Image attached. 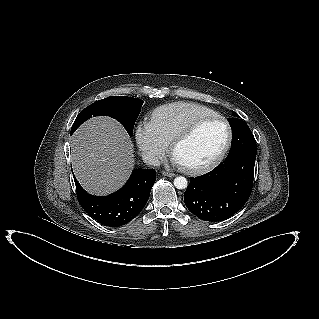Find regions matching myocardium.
<instances>
[{
	"mask_svg": "<svg viewBox=\"0 0 319 319\" xmlns=\"http://www.w3.org/2000/svg\"><path fill=\"white\" fill-rule=\"evenodd\" d=\"M212 119H218L224 123L226 127L225 141L221 149L217 153V155L209 162L203 165H198V166H185L180 164L182 170L188 174L197 175V174L208 172L212 170L213 168H215L223 160L232 141V128L229 121L224 116L217 113L207 114V115L197 117L193 119L192 121H190L181 131H179L170 142V151L173 154L176 146L179 145L184 140H186L187 138H189L200 124Z\"/></svg>",
	"mask_w": 319,
	"mask_h": 319,
	"instance_id": "obj_1",
	"label": "myocardium"
}]
</instances>
